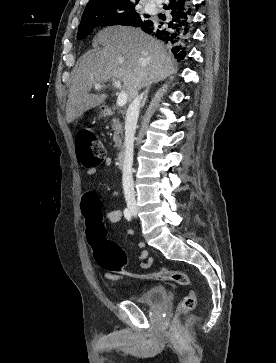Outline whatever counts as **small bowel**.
<instances>
[{
  "label": "small bowel",
  "instance_id": "1",
  "mask_svg": "<svg viewBox=\"0 0 276 363\" xmlns=\"http://www.w3.org/2000/svg\"><path fill=\"white\" fill-rule=\"evenodd\" d=\"M110 164H111V159L106 158L102 162L101 165L106 167V166H109ZM96 172H97V168L90 167L87 170V175L93 176L96 174ZM99 206H100V201L98 198V194L93 190H85L83 192V196H82V209L85 212V214L87 215L89 211H97ZM106 217L109 222L116 223L118 225H122L121 211H119V210L111 211V212L107 213ZM128 235L132 236L133 233L129 232ZM137 247L141 250V253L139 256L140 266L143 269L149 268L153 263V258L149 256L148 250L146 249V244L142 241H138ZM133 276L138 277V276H140V274L135 273V274H133ZM104 277H105V279H107L109 281H118V280L123 279L125 277V274L107 271L104 273Z\"/></svg>",
  "mask_w": 276,
  "mask_h": 363
}]
</instances>
